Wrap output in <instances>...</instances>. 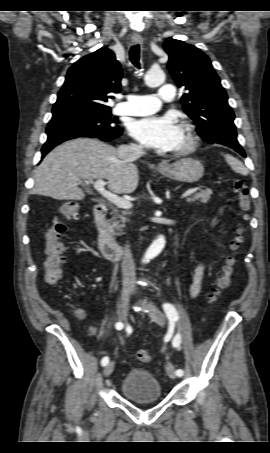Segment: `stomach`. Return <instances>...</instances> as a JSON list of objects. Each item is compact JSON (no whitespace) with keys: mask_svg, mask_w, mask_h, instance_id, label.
Returning a JSON list of instances; mask_svg holds the SVG:
<instances>
[{"mask_svg":"<svg viewBox=\"0 0 270 453\" xmlns=\"http://www.w3.org/2000/svg\"><path fill=\"white\" fill-rule=\"evenodd\" d=\"M158 171L165 177L186 183L200 180L204 174L202 163L193 158H183L165 167H159Z\"/></svg>","mask_w":270,"mask_h":453,"instance_id":"0dacf381","label":"stomach"}]
</instances>
